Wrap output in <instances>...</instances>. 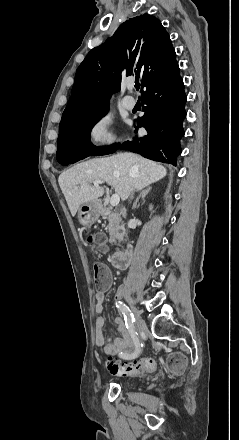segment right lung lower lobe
I'll return each mask as SVG.
<instances>
[{"mask_svg": "<svg viewBox=\"0 0 239 440\" xmlns=\"http://www.w3.org/2000/svg\"><path fill=\"white\" fill-rule=\"evenodd\" d=\"M141 99L147 107L143 109L144 115L138 118V127H144L147 135L126 141L120 146L79 144L61 148L56 153L58 162L68 165L91 155H106L124 149L155 161L176 165V157L181 152L179 141L184 135L182 121L186 117L184 106L187 101L178 64L151 81L142 91Z\"/></svg>", "mask_w": 239, "mask_h": 440, "instance_id": "1", "label": "right lung lower lobe"}]
</instances>
